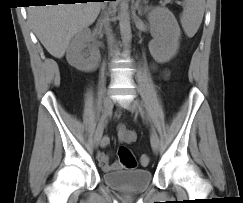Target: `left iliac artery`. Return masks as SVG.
I'll return each mask as SVG.
<instances>
[{"label": "left iliac artery", "mask_w": 243, "mask_h": 203, "mask_svg": "<svg viewBox=\"0 0 243 203\" xmlns=\"http://www.w3.org/2000/svg\"><path fill=\"white\" fill-rule=\"evenodd\" d=\"M140 105H141L143 108L145 107V105L143 104L142 101H140Z\"/></svg>", "instance_id": "44dca946"}]
</instances>
